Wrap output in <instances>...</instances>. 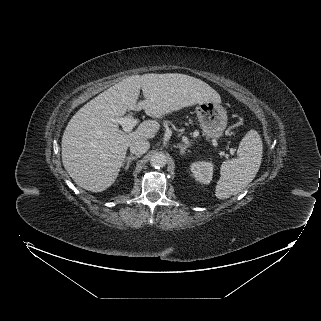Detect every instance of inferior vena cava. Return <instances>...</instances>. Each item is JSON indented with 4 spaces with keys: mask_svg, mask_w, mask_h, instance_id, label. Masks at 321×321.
Here are the masks:
<instances>
[{
    "mask_svg": "<svg viewBox=\"0 0 321 321\" xmlns=\"http://www.w3.org/2000/svg\"><path fill=\"white\" fill-rule=\"evenodd\" d=\"M150 148V143L147 140L139 139L131 143L130 151L131 153L139 156L146 153Z\"/></svg>",
    "mask_w": 321,
    "mask_h": 321,
    "instance_id": "1",
    "label": "inferior vena cava"
}]
</instances>
